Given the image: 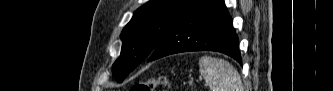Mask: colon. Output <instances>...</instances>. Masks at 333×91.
Here are the masks:
<instances>
[{
	"label": "colon",
	"instance_id": "obj_1",
	"mask_svg": "<svg viewBox=\"0 0 333 91\" xmlns=\"http://www.w3.org/2000/svg\"><path fill=\"white\" fill-rule=\"evenodd\" d=\"M157 85H162L165 87L170 86V81L167 76L161 75L157 78L149 79L146 81H142L134 84L131 87V91H153Z\"/></svg>",
	"mask_w": 333,
	"mask_h": 91
}]
</instances>
